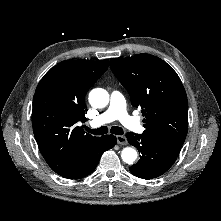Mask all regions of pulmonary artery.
<instances>
[{"instance_id": "pulmonary-artery-1", "label": "pulmonary artery", "mask_w": 221, "mask_h": 221, "mask_svg": "<svg viewBox=\"0 0 221 221\" xmlns=\"http://www.w3.org/2000/svg\"><path fill=\"white\" fill-rule=\"evenodd\" d=\"M114 120H119L125 127L136 133H142L144 131L140 122L127 113L125 99L118 91L111 93L108 109L93 119L90 125L92 127H98Z\"/></svg>"}]
</instances>
